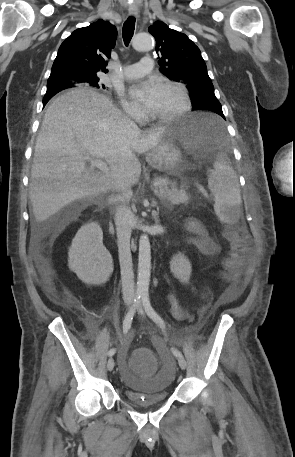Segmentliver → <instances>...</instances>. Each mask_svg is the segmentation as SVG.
Here are the masks:
<instances>
[{
  "label": "liver",
  "instance_id": "6515ba94",
  "mask_svg": "<svg viewBox=\"0 0 295 457\" xmlns=\"http://www.w3.org/2000/svg\"><path fill=\"white\" fill-rule=\"evenodd\" d=\"M167 126L143 134L105 95L78 88L48 106L37 137L29 197L38 222L66 205L110 189L124 191L141 175L136 153L152 150ZM86 157L104 160L108 174L92 172Z\"/></svg>",
  "mask_w": 295,
  "mask_h": 457
}]
</instances>
